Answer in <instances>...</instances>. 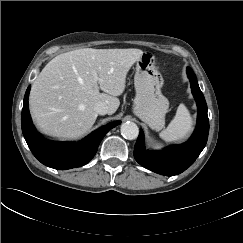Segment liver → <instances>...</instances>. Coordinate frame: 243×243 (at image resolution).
<instances>
[{"label": "liver", "instance_id": "6515ba94", "mask_svg": "<svg viewBox=\"0 0 243 243\" xmlns=\"http://www.w3.org/2000/svg\"><path fill=\"white\" fill-rule=\"evenodd\" d=\"M142 54V50L132 48H84L54 57L30 92V112L37 127L61 140L85 134L97 119L96 103H105L109 115L116 112L127 73Z\"/></svg>", "mask_w": 243, "mask_h": 243}]
</instances>
